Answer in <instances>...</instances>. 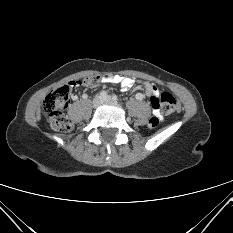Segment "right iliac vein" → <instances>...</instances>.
<instances>
[{"label":"right iliac vein","mask_w":233,"mask_h":233,"mask_svg":"<svg viewBox=\"0 0 233 233\" xmlns=\"http://www.w3.org/2000/svg\"><path fill=\"white\" fill-rule=\"evenodd\" d=\"M101 103H102V98L100 96H97L93 100V107L97 108L98 106L101 105Z\"/></svg>","instance_id":"1"}]
</instances>
